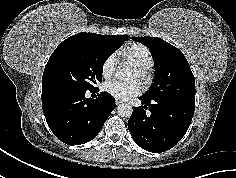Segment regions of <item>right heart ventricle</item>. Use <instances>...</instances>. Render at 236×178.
<instances>
[{
  "label": "right heart ventricle",
  "instance_id": "obj_1",
  "mask_svg": "<svg viewBox=\"0 0 236 178\" xmlns=\"http://www.w3.org/2000/svg\"><path fill=\"white\" fill-rule=\"evenodd\" d=\"M119 55L125 61L133 65H143L151 68L154 64V58L150 50L140 44L133 43L120 50Z\"/></svg>",
  "mask_w": 236,
  "mask_h": 178
}]
</instances>
